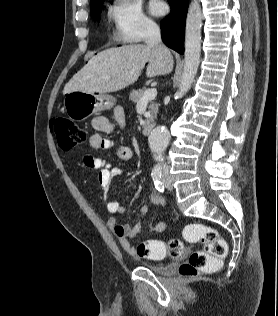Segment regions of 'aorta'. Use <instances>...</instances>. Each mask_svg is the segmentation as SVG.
Returning <instances> with one entry per match:
<instances>
[{
	"label": "aorta",
	"mask_w": 278,
	"mask_h": 316,
	"mask_svg": "<svg viewBox=\"0 0 278 316\" xmlns=\"http://www.w3.org/2000/svg\"><path fill=\"white\" fill-rule=\"evenodd\" d=\"M202 12L198 0L189 6L185 32V60L181 83L177 95L181 98L194 81L200 63ZM170 141V133L164 126L154 128L148 138L149 147L157 162L164 158V152Z\"/></svg>",
	"instance_id": "1"
}]
</instances>
